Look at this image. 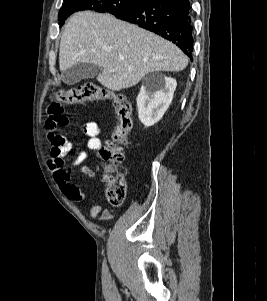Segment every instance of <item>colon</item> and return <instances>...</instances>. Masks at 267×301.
I'll list each match as a JSON object with an SVG mask.
<instances>
[{"label": "colon", "instance_id": "colon-1", "mask_svg": "<svg viewBox=\"0 0 267 301\" xmlns=\"http://www.w3.org/2000/svg\"><path fill=\"white\" fill-rule=\"evenodd\" d=\"M53 97L62 103L80 104L89 101L107 100L114 106L117 118L116 128L105 146L99 149L102 161L116 165L124 160L123 146L132 126V108L128 98L105 87L87 83L72 89H57ZM103 180L106 183V198L113 206L123 204L126 196V181L124 175L113 167L105 169Z\"/></svg>", "mask_w": 267, "mask_h": 301}]
</instances>
